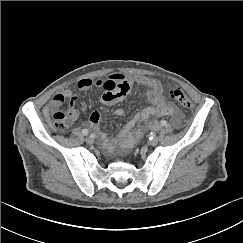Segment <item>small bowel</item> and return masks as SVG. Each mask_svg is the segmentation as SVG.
Listing matches in <instances>:
<instances>
[{
	"label": "small bowel",
	"instance_id": "small-bowel-1",
	"mask_svg": "<svg viewBox=\"0 0 243 243\" xmlns=\"http://www.w3.org/2000/svg\"><path fill=\"white\" fill-rule=\"evenodd\" d=\"M134 84L142 85L147 88V101L149 106L138 111L131 119H129L118 135L111 141L100 126L101 111L94 108L89 115V124L99 136L102 145L107 150H114L118 145L130 146L137 143L147 129L155 130L158 128L156 121H148L151 117L170 116L174 120H178L180 112L172 105L168 104L162 93V86L159 81L148 76L126 77L120 73H113L106 79H97L95 81L85 78L77 82V88L80 91H88L93 86L101 88L103 94L101 102L104 105H114L121 102L129 93ZM68 99L69 107L67 118L69 125L77 120L79 113L75 106L78 102V96L70 90L56 94L50 104L45 108V113L49 114L55 109L62 106ZM116 116H123L124 110L118 108L115 110ZM136 122L143 123L138 129L131 132Z\"/></svg>",
	"mask_w": 243,
	"mask_h": 243
}]
</instances>
